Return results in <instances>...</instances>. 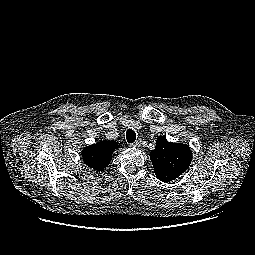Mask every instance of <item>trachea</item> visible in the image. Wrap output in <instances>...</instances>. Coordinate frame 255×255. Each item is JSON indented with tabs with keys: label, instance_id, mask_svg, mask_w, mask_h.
I'll list each match as a JSON object with an SVG mask.
<instances>
[{
	"label": "trachea",
	"instance_id": "1",
	"mask_svg": "<svg viewBox=\"0 0 255 255\" xmlns=\"http://www.w3.org/2000/svg\"><path fill=\"white\" fill-rule=\"evenodd\" d=\"M126 139L128 143H134L136 140V133L132 129H128L126 132Z\"/></svg>",
	"mask_w": 255,
	"mask_h": 255
}]
</instances>
